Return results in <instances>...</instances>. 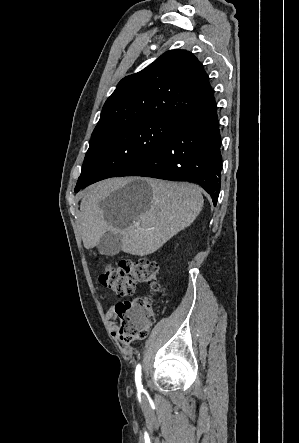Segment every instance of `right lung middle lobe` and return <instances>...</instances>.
I'll use <instances>...</instances> for the list:
<instances>
[{
    "label": "right lung middle lobe",
    "mask_w": 299,
    "mask_h": 443,
    "mask_svg": "<svg viewBox=\"0 0 299 443\" xmlns=\"http://www.w3.org/2000/svg\"><path fill=\"white\" fill-rule=\"evenodd\" d=\"M177 124L175 118H144L92 136L75 192L136 166L172 135Z\"/></svg>",
    "instance_id": "dd1d6c3e"
}]
</instances>
